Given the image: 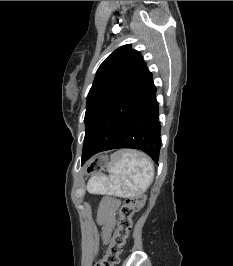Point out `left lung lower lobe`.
<instances>
[{"mask_svg":"<svg viewBox=\"0 0 233 266\" xmlns=\"http://www.w3.org/2000/svg\"><path fill=\"white\" fill-rule=\"evenodd\" d=\"M152 73L145 68L112 102L83 145L82 164L94 154L116 148H134L156 163L160 151L158 102Z\"/></svg>","mask_w":233,"mask_h":266,"instance_id":"obj_1","label":"left lung lower lobe"}]
</instances>
